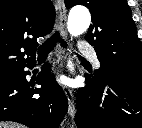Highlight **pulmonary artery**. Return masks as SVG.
<instances>
[{"mask_svg":"<svg viewBox=\"0 0 142 128\" xmlns=\"http://www.w3.org/2000/svg\"><path fill=\"white\" fill-rule=\"evenodd\" d=\"M79 51L81 54L90 57L94 61L96 66L100 65L95 50L88 43H86V42L80 43Z\"/></svg>","mask_w":142,"mask_h":128,"instance_id":"1","label":"pulmonary artery"}]
</instances>
